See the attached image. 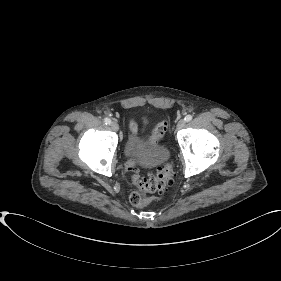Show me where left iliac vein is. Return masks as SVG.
Returning a JSON list of instances; mask_svg holds the SVG:
<instances>
[{
    "mask_svg": "<svg viewBox=\"0 0 281 281\" xmlns=\"http://www.w3.org/2000/svg\"><path fill=\"white\" fill-rule=\"evenodd\" d=\"M185 124H186L185 120H180L176 125V129L180 130V129L184 128Z\"/></svg>",
    "mask_w": 281,
    "mask_h": 281,
    "instance_id": "left-iliac-vein-1",
    "label": "left iliac vein"
}]
</instances>
